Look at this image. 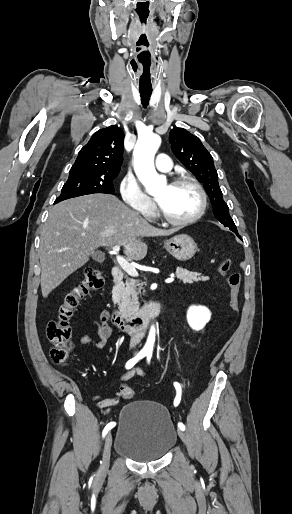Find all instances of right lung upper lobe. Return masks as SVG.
Here are the masks:
<instances>
[{"label":"right lung upper lobe","instance_id":"1","mask_svg":"<svg viewBox=\"0 0 292 514\" xmlns=\"http://www.w3.org/2000/svg\"><path fill=\"white\" fill-rule=\"evenodd\" d=\"M124 132L117 126L94 133L78 153L69 174L118 175L123 162Z\"/></svg>","mask_w":292,"mask_h":514}]
</instances>
